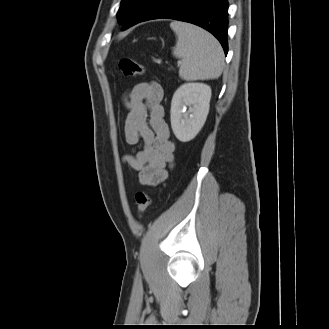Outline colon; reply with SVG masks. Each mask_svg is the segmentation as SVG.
Returning a JSON list of instances; mask_svg holds the SVG:
<instances>
[{
  "instance_id": "5ec220e1",
  "label": "colon",
  "mask_w": 329,
  "mask_h": 329,
  "mask_svg": "<svg viewBox=\"0 0 329 329\" xmlns=\"http://www.w3.org/2000/svg\"><path fill=\"white\" fill-rule=\"evenodd\" d=\"M120 72L125 76H136L144 73L143 66L130 58H123L119 61ZM137 215L141 217L151 204L150 195L147 192L139 191L136 193Z\"/></svg>"
}]
</instances>
